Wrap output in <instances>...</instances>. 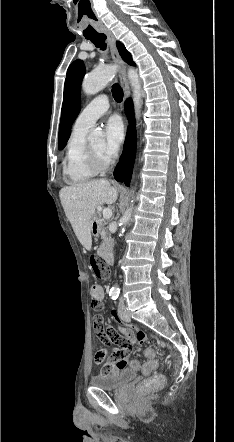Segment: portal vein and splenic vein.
<instances>
[{
	"label": "portal vein and splenic vein",
	"instance_id": "18ae733b",
	"mask_svg": "<svg viewBox=\"0 0 234 442\" xmlns=\"http://www.w3.org/2000/svg\"><path fill=\"white\" fill-rule=\"evenodd\" d=\"M112 216V210L110 208H105L103 210V218L109 219Z\"/></svg>",
	"mask_w": 234,
	"mask_h": 442
}]
</instances>
